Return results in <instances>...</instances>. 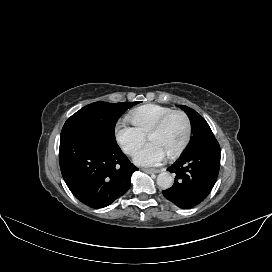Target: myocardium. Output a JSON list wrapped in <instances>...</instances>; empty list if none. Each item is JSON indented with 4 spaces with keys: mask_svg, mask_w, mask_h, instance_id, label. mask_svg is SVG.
<instances>
[{
    "mask_svg": "<svg viewBox=\"0 0 272 272\" xmlns=\"http://www.w3.org/2000/svg\"><path fill=\"white\" fill-rule=\"evenodd\" d=\"M176 115H180L184 118V120L186 122V135H185L183 142L179 145V147L167 155V157L169 159H174V158L178 157L186 149V147L190 143V140L192 137V122H191L189 115L182 110H173V111L165 114L163 117H161L147 133V136L149 139V136L151 134L161 131L165 127L167 122L172 117H174Z\"/></svg>",
    "mask_w": 272,
    "mask_h": 272,
    "instance_id": "1",
    "label": "myocardium"
}]
</instances>
